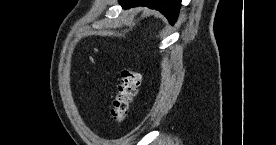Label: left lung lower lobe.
Returning a JSON list of instances; mask_svg holds the SVG:
<instances>
[{
    "instance_id": "1",
    "label": "left lung lower lobe",
    "mask_w": 276,
    "mask_h": 145,
    "mask_svg": "<svg viewBox=\"0 0 276 145\" xmlns=\"http://www.w3.org/2000/svg\"><path fill=\"white\" fill-rule=\"evenodd\" d=\"M124 8L147 6L156 9L166 16L171 24L177 20L181 0H118Z\"/></svg>"
}]
</instances>
